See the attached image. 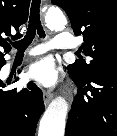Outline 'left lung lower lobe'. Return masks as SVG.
<instances>
[{
    "instance_id": "1",
    "label": "left lung lower lobe",
    "mask_w": 117,
    "mask_h": 136,
    "mask_svg": "<svg viewBox=\"0 0 117 136\" xmlns=\"http://www.w3.org/2000/svg\"><path fill=\"white\" fill-rule=\"evenodd\" d=\"M72 79L79 92L65 136H117V68L98 70L86 81Z\"/></svg>"
}]
</instances>
